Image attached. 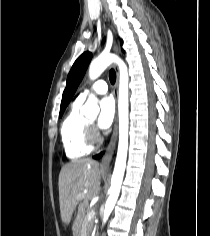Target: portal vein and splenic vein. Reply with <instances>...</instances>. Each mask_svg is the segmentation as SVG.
<instances>
[{
    "label": "portal vein and splenic vein",
    "instance_id": "18ae733b",
    "mask_svg": "<svg viewBox=\"0 0 210 236\" xmlns=\"http://www.w3.org/2000/svg\"><path fill=\"white\" fill-rule=\"evenodd\" d=\"M78 199L81 198V196L77 197ZM95 216V212H91V214L88 216L89 219H92Z\"/></svg>",
    "mask_w": 210,
    "mask_h": 236
}]
</instances>
